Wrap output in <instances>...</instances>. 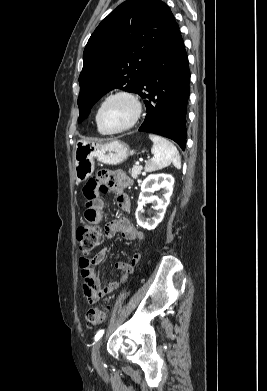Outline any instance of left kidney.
<instances>
[{"label": "left kidney", "mask_w": 267, "mask_h": 391, "mask_svg": "<svg viewBox=\"0 0 267 391\" xmlns=\"http://www.w3.org/2000/svg\"><path fill=\"white\" fill-rule=\"evenodd\" d=\"M174 178L169 174H151L141 184V192L138 199V207L136 209V220L139 226L147 230H153L163 220L166 208L170 203V197L173 192ZM162 189L163 195L161 198L152 196L156 190ZM146 201L155 204V215L152 218L143 216V206Z\"/></svg>", "instance_id": "obj_1"}]
</instances>
